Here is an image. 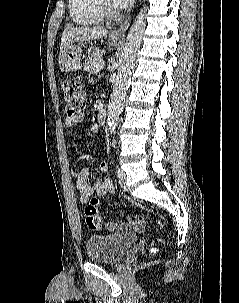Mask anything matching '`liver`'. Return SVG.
<instances>
[{"mask_svg":"<svg viewBox=\"0 0 239 303\" xmlns=\"http://www.w3.org/2000/svg\"><path fill=\"white\" fill-rule=\"evenodd\" d=\"M108 34V30L101 26L66 28L61 37L60 51L69 48L78 41H92Z\"/></svg>","mask_w":239,"mask_h":303,"instance_id":"obj_1","label":"liver"}]
</instances>
